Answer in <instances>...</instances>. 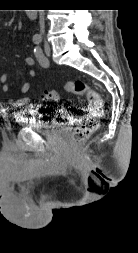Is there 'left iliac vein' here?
Segmentation results:
<instances>
[{"instance_id":"4c4485c4","label":"left iliac vein","mask_w":138,"mask_h":253,"mask_svg":"<svg viewBox=\"0 0 138 253\" xmlns=\"http://www.w3.org/2000/svg\"><path fill=\"white\" fill-rule=\"evenodd\" d=\"M44 50H45V54H46L47 56H49L50 53H51V50H50V46H49L47 43L45 44ZM47 65H48V64H47Z\"/></svg>"}]
</instances>
